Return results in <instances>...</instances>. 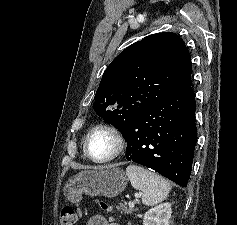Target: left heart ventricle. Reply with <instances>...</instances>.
Segmentation results:
<instances>
[{"instance_id": "obj_1", "label": "left heart ventricle", "mask_w": 237, "mask_h": 225, "mask_svg": "<svg viewBox=\"0 0 237 225\" xmlns=\"http://www.w3.org/2000/svg\"><path fill=\"white\" fill-rule=\"evenodd\" d=\"M89 148L94 157L101 158L112 151L113 141L109 135L97 133L91 138Z\"/></svg>"}]
</instances>
